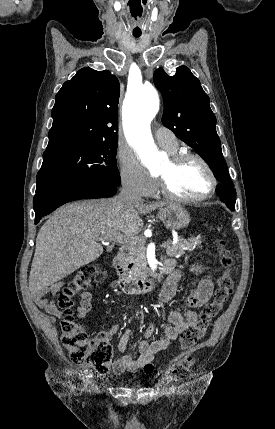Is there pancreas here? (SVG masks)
<instances>
[{"mask_svg":"<svg viewBox=\"0 0 275 429\" xmlns=\"http://www.w3.org/2000/svg\"><path fill=\"white\" fill-rule=\"evenodd\" d=\"M201 236L191 237L188 240L179 237L176 244L172 245L171 241L169 246L166 247V254L169 257H180L185 254L186 251H193L196 246L201 244ZM129 262H132L134 265L131 269L127 270V275L129 277H138L147 271L146 263V251H145V242L139 241L135 244L134 249L129 253L127 257Z\"/></svg>","mask_w":275,"mask_h":429,"instance_id":"pancreas-1","label":"pancreas"}]
</instances>
